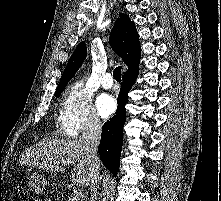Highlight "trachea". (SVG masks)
<instances>
[{
    "mask_svg": "<svg viewBox=\"0 0 221 201\" xmlns=\"http://www.w3.org/2000/svg\"><path fill=\"white\" fill-rule=\"evenodd\" d=\"M113 76L116 81H118V82L121 81V67L120 66H118L114 69Z\"/></svg>",
    "mask_w": 221,
    "mask_h": 201,
    "instance_id": "trachea-1",
    "label": "trachea"
}]
</instances>
